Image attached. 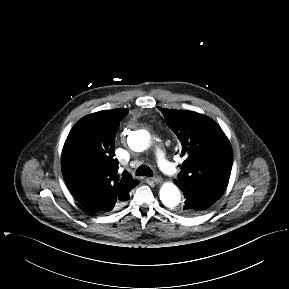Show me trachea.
<instances>
[{
    "label": "trachea",
    "mask_w": 289,
    "mask_h": 289,
    "mask_svg": "<svg viewBox=\"0 0 289 289\" xmlns=\"http://www.w3.org/2000/svg\"><path fill=\"white\" fill-rule=\"evenodd\" d=\"M136 175L151 177L153 175V172L149 166L141 165L137 168Z\"/></svg>",
    "instance_id": "trachea-1"
}]
</instances>
